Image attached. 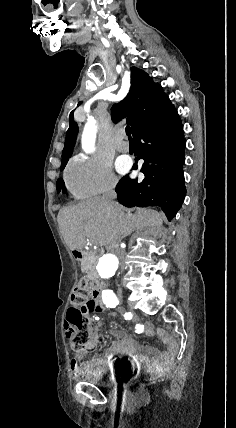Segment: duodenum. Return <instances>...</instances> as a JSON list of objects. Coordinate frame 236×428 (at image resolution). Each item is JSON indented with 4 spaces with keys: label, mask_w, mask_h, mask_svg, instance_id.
<instances>
[{
    "label": "duodenum",
    "mask_w": 236,
    "mask_h": 428,
    "mask_svg": "<svg viewBox=\"0 0 236 428\" xmlns=\"http://www.w3.org/2000/svg\"><path fill=\"white\" fill-rule=\"evenodd\" d=\"M74 258L77 260L78 263L83 264L85 261V254L81 250H74L73 251ZM105 293V287L102 284H96L91 289V294L93 298L96 300H101L103 297V294Z\"/></svg>",
    "instance_id": "410a0bca"
}]
</instances>
